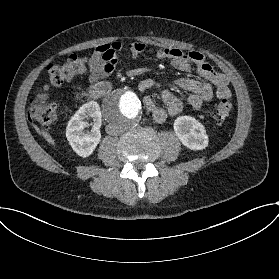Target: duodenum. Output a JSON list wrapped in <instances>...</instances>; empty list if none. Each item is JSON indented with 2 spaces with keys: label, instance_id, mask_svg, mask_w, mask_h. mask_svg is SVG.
<instances>
[{
  "label": "duodenum",
  "instance_id": "obj_1",
  "mask_svg": "<svg viewBox=\"0 0 279 279\" xmlns=\"http://www.w3.org/2000/svg\"><path fill=\"white\" fill-rule=\"evenodd\" d=\"M111 89L112 86L110 83L100 82L91 87L89 94L91 98L96 99L103 95L108 94L111 91Z\"/></svg>",
  "mask_w": 279,
  "mask_h": 279
}]
</instances>
